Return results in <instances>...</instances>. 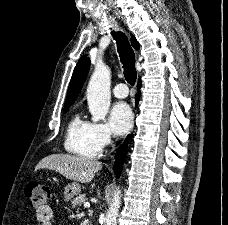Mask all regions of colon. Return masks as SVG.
Segmentation results:
<instances>
[{"label":"colon","instance_id":"1","mask_svg":"<svg viewBox=\"0 0 228 225\" xmlns=\"http://www.w3.org/2000/svg\"><path fill=\"white\" fill-rule=\"evenodd\" d=\"M25 195L33 209L38 211H46L45 208L49 207L46 203L49 199L48 188L38 182H31L27 185Z\"/></svg>","mask_w":228,"mask_h":225}]
</instances>
